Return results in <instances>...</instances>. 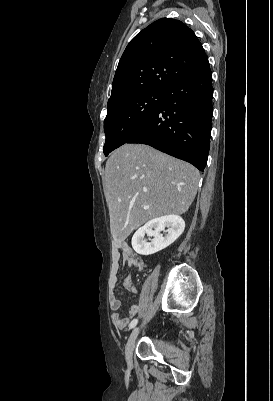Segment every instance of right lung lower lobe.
Returning a JSON list of instances; mask_svg holds the SVG:
<instances>
[{"mask_svg": "<svg viewBox=\"0 0 273 401\" xmlns=\"http://www.w3.org/2000/svg\"><path fill=\"white\" fill-rule=\"evenodd\" d=\"M213 87L209 63L164 91V98L126 143L150 145L164 153L206 167Z\"/></svg>", "mask_w": 273, "mask_h": 401, "instance_id": "98d812e1", "label": "right lung lower lobe"}]
</instances>
